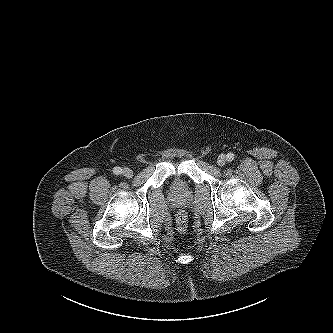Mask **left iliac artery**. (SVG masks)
Instances as JSON below:
<instances>
[{
	"label": "left iliac artery",
	"instance_id": "obj_1",
	"mask_svg": "<svg viewBox=\"0 0 333 333\" xmlns=\"http://www.w3.org/2000/svg\"><path fill=\"white\" fill-rule=\"evenodd\" d=\"M235 158L234 154L233 153H228L227 154V161H233Z\"/></svg>",
	"mask_w": 333,
	"mask_h": 333
}]
</instances>
